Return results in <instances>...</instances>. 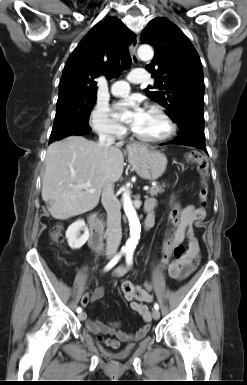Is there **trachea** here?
Segmentation results:
<instances>
[{"label":"trachea","instance_id":"3493384b","mask_svg":"<svg viewBox=\"0 0 247 385\" xmlns=\"http://www.w3.org/2000/svg\"><path fill=\"white\" fill-rule=\"evenodd\" d=\"M130 66H131V56L128 49L125 48L122 51L121 68L128 69Z\"/></svg>","mask_w":247,"mask_h":385}]
</instances>
